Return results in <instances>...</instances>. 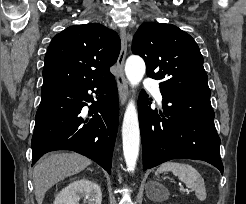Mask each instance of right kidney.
<instances>
[{
  "instance_id": "1",
  "label": "right kidney",
  "mask_w": 246,
  "mask_h": 204,
  "mask_svg": "<svg viewBox=\"0 0 246 204\" xmlns=\"http://www.w3.org/2000/svg\"><path fill=\"white\" fill-rule=\"evenodd\" d=\"M80 199L87 204H101L100 186L86 178L75 180L57 194L53 204H79Z\"/></svg>"
}]
</instances>
